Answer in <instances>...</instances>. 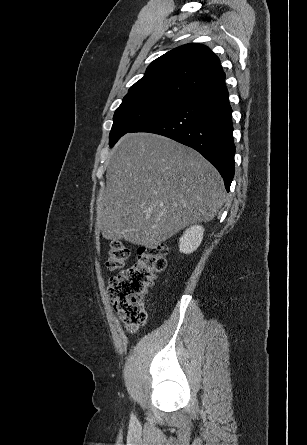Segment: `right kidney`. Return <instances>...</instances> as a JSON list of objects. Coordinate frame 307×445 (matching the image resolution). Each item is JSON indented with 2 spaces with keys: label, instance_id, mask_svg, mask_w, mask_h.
Here are the masks:
<instances>
[{
  "label": "right kidney",
  "instance_id": "right-kidney-1",
  "mask_svg": "<svg viewBox=\"0 0 307 445\" xmlns=\"http://www.w3.org/2000/svg\"><path fill=\"white\" fill-rule=\"evenodd\" d=\"M204 229L200 225H193L190 229H186L183 237L180 239L179 251L190 255L193 251L198 249L203 241Z\"/></svg>",
  "mask_w": 307,
  "mask_h": 445
}]
</instances>
